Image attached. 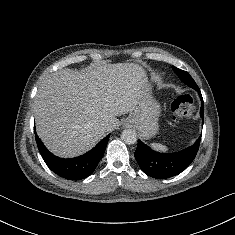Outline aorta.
<instances>
[{
    "instance_id": "aorta-1",
    "label": "aorta",
    "mask_w": 235,
    "mask_h": 235,
    "mask_svg": "<svg viewBox=\"0 0 235 235\" xmlns=\"http://www.w3.org/2000/svg\"><path fill=\"white\" fill-rule=\"evenodd\" d=\"M121 138L122 140L126 143V144H134L137 141V134L134 130L132 129H127L124 130L121 134Z\"/></svg>"
}]
</instances>
